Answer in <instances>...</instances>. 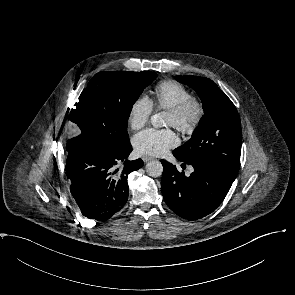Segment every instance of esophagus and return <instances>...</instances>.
Instances as JSON below:
<instances>
[{
  "mask_svg": "<svg viewBox=\"0 0 295 295\" xmlns=\"http://www.w3.org/2000/svg\"><path fill=\"white\" fill-rule=\"evenodd\" d=\"M154 158L153 157H150V156H143L142 157V160L145 162V163H147V162H149V161H151V160H153Z\"/></svg>",
  "mask_w": 295,
  "mask_h": 295,
  "instance_id": "esophagus-1",
  "label": "esophagus"
}]
</instances>
